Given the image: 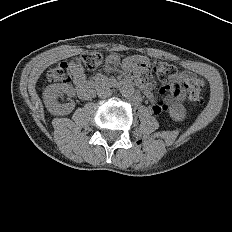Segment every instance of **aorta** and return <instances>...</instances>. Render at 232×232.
<instances>
[{"instance_id":"aorta-1","label":"aorta","mask_w":232,"mask_h":232,"mask_svg":"<svg viewBox=\"0 0 232 232\" xmlns=\"http://www.w3.org/2000/svg\"><path fill=\"white\" fill-rule=\"evenodd\" d=\"M134 92H135V89L130 84H125L120 89V93L124 97H130V96H132L134 94Z\"/></svg>"}]
</instances>
